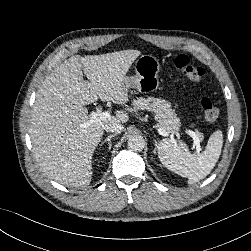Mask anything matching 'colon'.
I'll use <instances>...</instances> for the list:
<instances>
[{
  "mask_svg": "<svg viewBox=\"0 0 251 251\" xmlns=\"http://www.w3.org/2000/svg\"><path fill=\"white\" fill-rule=\"evenodd\" d=\"M177 69L190 81H200L205 70L193 62L186 55H179L175 60ZM201 107L206 121L213 122L219 117V109L214 105L211 99L204 97L201 99Z\"/></svg>",
  "mask_w": 251,
  "mask_h": 251,
  "instance_id": "obj_1",
  "label": "colon"
}]
</instances>
